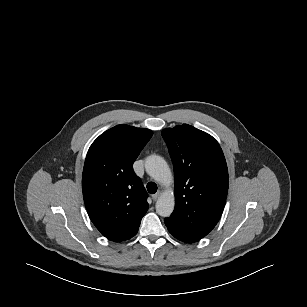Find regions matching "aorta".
Returning <instances> with one entry per match:
<instances>
[{"mask_svg": "<svg viewBox=\"0 0 307 307\" xmlns=\"http://www.w3.org/2000/svg\"><path fill=\"white\" fill-rule=\"evenodd\" d=\"M145 170L147 174L162 185H170L172 182L171 170L161 156H148L145 160ZM174 207L175 198L171 191L164 192L156 202V212L162 217H169Z\"/></svg>", "mask_w": 307, "mask_h": 307, "instance_id": "aorta-1", "label": "aorta"}]
</instances>
